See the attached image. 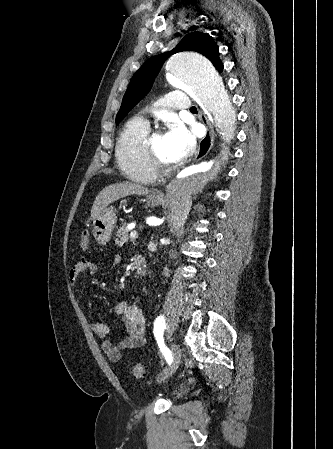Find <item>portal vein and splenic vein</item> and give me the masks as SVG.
<instances>
[{"instance_id": "obj_1", "label": "portal vein and splenic vein", "mask_w": 333, "mask_h": 449, "mask_svg": "<svg viewBox=\"0 0 333 449\" xmlns=\"http://www.w3.org/2000/svg\"><path fill=\"white\" fill-rule=\"evenodd\" d=\"M130 238H132V239L138 238V233L136 231H131L130 232Z\"/></svg>"}]
</instances>
